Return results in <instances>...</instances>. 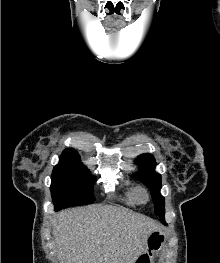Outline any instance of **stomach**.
Here are the masks:
<instances>
[{
	"label": "stomach",
	"instance_id": "obj_1",
	"mask_svg": "<svg viewBox=\"0 0 220 263\" xmlns=\"http://www.w3.org/2000/svg\"><path fill=\"white\" fill-rule=\"evenodd\" d=\"M167 235L162 230H155L148 235L144 249L138 255L134 263H154L155 253L165 245Z\"/></svg>",
	"mask_w": 220,
	"mask_h": 263
}]
</instances>
